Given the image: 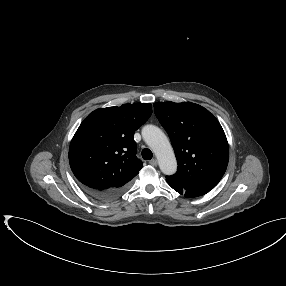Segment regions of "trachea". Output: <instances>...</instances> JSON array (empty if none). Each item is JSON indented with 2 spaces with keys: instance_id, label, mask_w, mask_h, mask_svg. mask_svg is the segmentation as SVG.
I'll return each mask as SVG.
<instances>
[{
  "instance_id": "obj_1",
  "label": "trachea",
  "mask_w": 286,
  "mask_h": 286,
  "mask_svg": "<svg viewBox=\"0 0 286 286\" xmlns=\"http://www.w3.org/2000/svg\"><path fill=\"white\" fill-rule=\"evenodd\" d=\"M142 157L144 160H151L153 157L152 151L148 148L142 150Z\"/></svg>"
}]
</instances>
